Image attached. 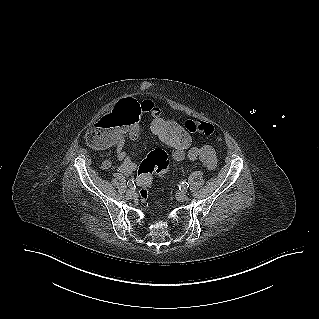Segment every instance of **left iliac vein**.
Masks as SVG:
<instances>
[{"label":"left iliac vein","instance_id":"left-iliac-vein-1","mask_svg":"<svg viewBox=\"0 0 319 319\" xmlns=\"http://www.w3.org/2000/svg\"><path fill=\"white\" fill-rule=\"evenodd\" d=\"M176 199L178 201L184 202L188 199V196H187L186 192L181 191V192L176 193Z\"/></svg>","mask_w":319,"mask_h":319}]
</instances>
